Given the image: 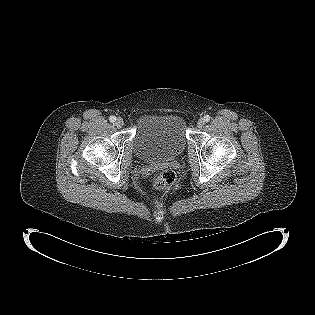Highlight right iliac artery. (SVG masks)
<instances>
[{
    "label": "right iliac artery",
    "instance_id": "right-iliac-artery-1",
    "mask_svg": "<svg viewBox=\"0 0 315 315\" xmlns=\"http://www.w3.org/2000/svg\"><path fill=\"white\" fill-rule=\"evenodd\" d=\"M109 120H110V122L114 123L116 121V117L115 116H110Z\"/></svg>",
    "mask_w": 315,
    "mask_h": 315
}]
</instances>
